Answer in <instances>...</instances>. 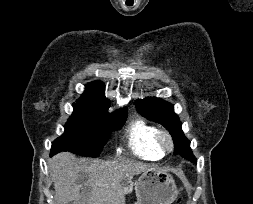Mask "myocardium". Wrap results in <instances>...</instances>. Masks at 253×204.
I'll use <instances>...</instances> for the list:
<instances>
[{
	"label": "myocardium",
	"mask_w": 253,
	"mask_h": 204,
	"mask_svg": "<svg viewBox=\"0 0 253 204\" xmlns=\"http://www.w3.org/2000/svg\"><path fill=\"white\" fill-rule=\"evenodd\" d=\"M156 143L163 154L170 153L174 149V140L166 129L157 130Z\"/></svg>",
	"instance_id": "1"
}]
</instances>
